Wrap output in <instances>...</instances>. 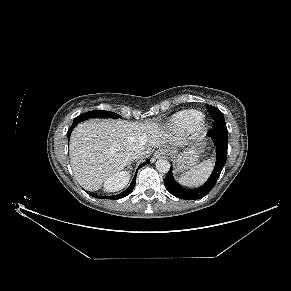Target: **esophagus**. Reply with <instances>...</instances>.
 <instances>
[{
	"label": "esophagus",
	"instance_id": "1",
	"mask_svg": "<svg viewBox=\"0 0 291 291\" xmlns=\"http://www.w3.org/2000/svg\"><path fill=\"white\" fill-rule=\"evenodd\" d=\"M166 154H167V150L164 148H160L153 154L151 161L155 162L157 159H159L161 157H165Z\"/></svg>",
	"mask_w": 291,
	"mask_h": 291
}]
</instances>
